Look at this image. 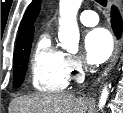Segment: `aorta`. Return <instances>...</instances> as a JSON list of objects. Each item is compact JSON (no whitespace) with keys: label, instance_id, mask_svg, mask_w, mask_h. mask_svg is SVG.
I'll use <instances>...</instances> for the list:
<instances>
[{"label":"aorta","instance_id":"obj_1","mask_svg":"<svg viewBox=\"0 0 123 113\" xmlns=\"http://www.w3.org/2000/svg\"><path fill=\"white\" fill-rule=\"evenodd\" d=\"M82 0H60L59 3V32L58 39L62 49L75 54L79 49V28L77 25V12ZM109 91L105 86L102 90L99 108L102 109L108 98Z\"/></svg>","mask_w":123,"mask_h":113}]
</instances>
